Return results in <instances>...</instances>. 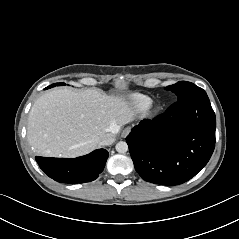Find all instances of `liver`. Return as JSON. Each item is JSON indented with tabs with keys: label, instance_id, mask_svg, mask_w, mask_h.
Instances as JSON below:
<instances>
[{
	"label": "liver",
	"instance_id": "6515ba94",
	"mask_svg": "<svg viewBox=\"0 0 239 239\" xmlns=\"http://www.w3.org/2000/svg\"><path fill=\"white\" fill-rule=\"evenodd\" d=\"M133 119L134 111L124 96L107 95L100 89H54L33 104L27 138L38 154L74 158L97 149L102 136L113 137Z\"/></svg>",
	"mask_w": 239,
	"mask_h": 239
}]
</instances>
